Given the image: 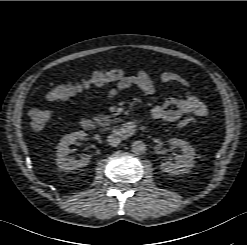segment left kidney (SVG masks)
<instances>
[{
	"mask_svg": "<svg viewBox=\"0 0 247 245\" xmlns=\"http://www.w3.org/2000/svg\"><path fill=\"white\" fill-rule=\"evenodd\" d=\"M169 143L180 148L182 155H178L174 162H162L160 167L163 172L171 175H178L188 172L194 166L195 149L181 139L171 138Z\"/></svg>",
	"mask_w": 247,
	"mask_h": 245,
	"instance_id": "left-kidney-1",
	"label": "left kidney"
}]
</instances>
